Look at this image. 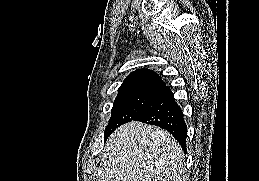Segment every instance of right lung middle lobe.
<instances>
[{
    "instance_id": "right-lung-middle-lobe-1",
    "label": "right lung middle lobe",
    "mask_w": 259,
    "mask_h": 181,
    "mask_svg": "<svg viewBox=\"0 0 259 181\" xmlns=\"http://www.w3.org/2000/svg\"><path fill=\"white\" fill-rule=\"evenodd\" d=\"M160 88L161 85H136L119 88L104 137L107 138L116 128L138 116L157 95Z\"/></svg>"
}]
</instances>
